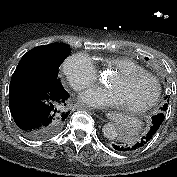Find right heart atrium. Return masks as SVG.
Masks as SVG:
<instances>
[{"instance_id": "right-heart-atrium-1", "label": "right heart atrium", "mask_w": 177, "mask_h": 177, "mask_svg": "<svg viewBox=\"0 0 177 177\" xmlns=\"http://www.w3.org/2000/svg\"><path fill=\"white\" fill-rule=\"evenodd\" d=\"M62 71L75 91L84 90L98 79L97 67L85 53L67 57L62 65Z\"/></svg>"}]
</instances>
